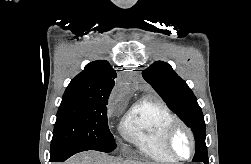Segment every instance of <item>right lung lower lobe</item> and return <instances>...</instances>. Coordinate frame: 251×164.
Segmentation results:
<instances>
[{
	"mask_svg": "<svg viewBox=\"0 0 251 164\" xmlns=\"http://www.w3.org/2000/svg\"><path fill=\"white\" fill-rule=\"evenodd\" d=\"M81 151H84V149L76 146L60 148L50 153V162H64L72 155Z\"/></svg>",
	"mask_w": 251,
	"mask_h": 164,
	"instance_id": "right-lung-lower-lobe-1",
	"label": "right lung lower lobe"
}]
</instances>
